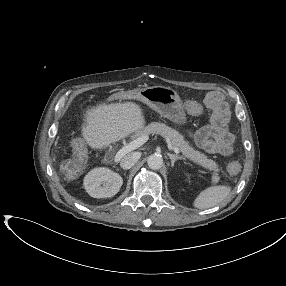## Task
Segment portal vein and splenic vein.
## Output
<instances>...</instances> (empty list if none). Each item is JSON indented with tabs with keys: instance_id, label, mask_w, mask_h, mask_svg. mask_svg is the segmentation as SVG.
I'll list each match as a JSON object with an SVG mask.
<instances>
[{
	"instance_id": "18ae733b",
	"label": "portal vein and splenic vein",
	"mask_w": 286,
	"mask_h": 286,
	"mask_svg": "<svg viewBox=\"0 0 286 286\" xmlns=\"http://www.w3.org/2000/svg\"><path fill=\"white\" fill-rule=\"evenodd\" d=\"M149 139L148 135H142L135 139L134 141L130 142L129 144H126L124 147H122L117 154L115 155V161L118 162L125 154L128 152L135 150L142 146L147 140ZM168 148L173 150L176 154L179 153V149L176 147H173L171 144L168 145Z\"/></svg>"
}]
</instances>
